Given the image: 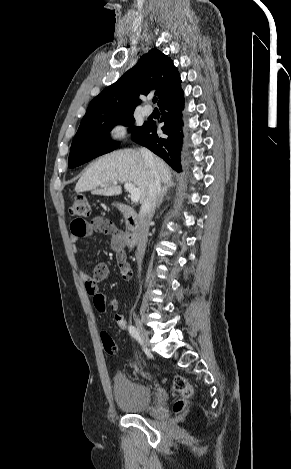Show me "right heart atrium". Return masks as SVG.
<instances>
[{
  "label": "right heart atrium",
  "mask_w": 291,
  "mask_h": 469,
  "mask_svg": "<svg viewBox=\"0 0 291 469\" xmlns=\"http://www.w3.org/2000/svg\"><path fill=\"white\" fill-rule=\"evenodd\" d=\"M126 135L127 127L123 123H114L108 129V139L110 142H120Z\"/></svg>",
  "instance_id": "obj_1"
}]
</instances>
